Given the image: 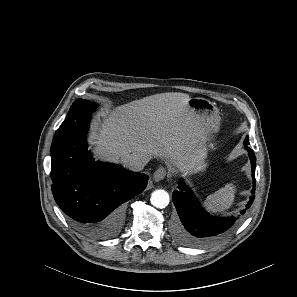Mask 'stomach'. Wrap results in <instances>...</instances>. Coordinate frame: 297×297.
I'll use <instances>...</instances> for the list:
<instances>
[{
  "label": "stomach",
  "mask_w": 297,
  "mask_h": 297,
  "mask_svg": "<svg viewBox=\"0 0 297 297\" xmlns=\"http://www.w3.org/2000/svg\"><path fill=\"white\" fill-rule=\"evenodd\" d=\"M189 110L194 112L201 120L206 135L204 148L196 155L195 159L187 168V172L192 175L201 174L208 167V150L207 146L213 134L216 133L220 126L219 110L213 102L205 98H190L188 101Z\"/></svg>",
  "instance_id": "stomach-1"
}]
</instances>
